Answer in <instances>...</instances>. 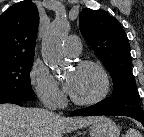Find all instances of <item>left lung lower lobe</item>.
<instances>
[{"label":"left lung lower lobe","instance_id":"left-lung-lower-lobe-1","mask_svg":"<svg viewBox=\"0 0 144 137\" xmlns=\"http://www.w3.org/2000/svg\"><path fill=\"white\" fill-rule=\"evenodd\" d=\"M74 116H93V115H123L132 117L142 123L144 126V111L141 107H128L124 105L108 107L103 102L90 107L75 110L72 112Z\"/></svg>","mask_w":144,"mask_h":137}]
</instances>
